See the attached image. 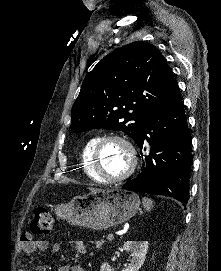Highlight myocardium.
Masks as SVG:
<instances>
[{
    "instance_id": "1",
    "label": "myocardium",
    "mask_w": 221,
    "mask_h": 271,
    "mask_svg": "<svg viewBox=\"0 0 221 271\" xmlns=\"http://www.w3.org/2000/svg\"><path fill=\"white\" fill-rule=\"evenodd\" d=\"M107 137L95 138L97 140L95 145H91L94 150L91 152L92 156V167H94V173L100 175L101 178L106 176L103 172V165H101V159L99 156L101 154L100 150H105L106 145H118V150H125L123 155V161L127 166V171L121 175L103 178V183L100 184H115L124 183V178H128L134 170L138 167V156L137 150H135V145H130L129 140H131L127 135L121 132H107Z\"/></svg>"
}]
</instances>
